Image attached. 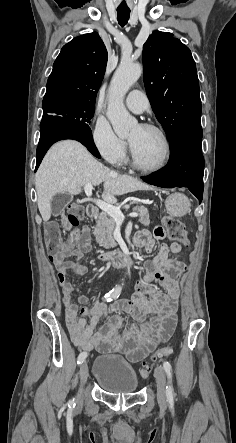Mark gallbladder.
Returning <instances> with one entry per match:
<instances>
[{
  "label": "gallbladder",
  "instance_id": "bac80fb5",
  "mask_svg": "<svg viewBox=\"0 0 236 443\" xmlns=\"http://www.w3.org/2000/svg\"><path fill=\"white\" fill-rule=\"evenodd\" d=\"M73 200V197L68 193H58L51 199V211L54 216H58L66 208V206Z\"/></svg>",
  "mask_w": 236,
  "mask_h": 443
}]
</instances>
